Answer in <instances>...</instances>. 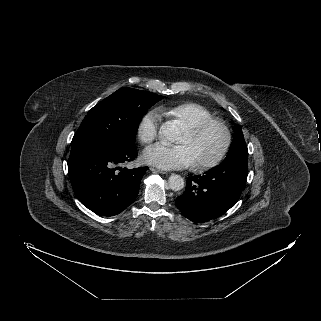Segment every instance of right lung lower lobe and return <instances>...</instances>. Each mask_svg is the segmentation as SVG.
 I'll use <instances>...</instances> for the list:
<instances>
[{
  "instance_id": "obj_1",
  "label": "right lung lower lobe",
  "mask_w": 321,
  "mask_h": 321,
  "mask_svg": "<svg viewBox=\"0 0 321 321\" xmlns=\"http://www.w3.org/2000/svg\"><path fill=\"white\" fill-rule=\"evenodd\" d=\"M137 157L136 146L123 148L96 143L71 146L68 173L79 201L100 216L121 213L137 197L148 167L119 168Z\"/></svg>"
}]
</instances>
